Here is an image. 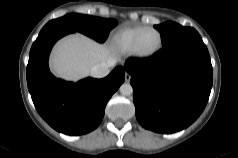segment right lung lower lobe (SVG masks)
<instances>
[{
  "instance_id": "right-lung-lower-lobe-1",
  "label": "right lung lower lobe",
  "mask_w": 238,
  "mask_h": 158,
  "mask_svg": "<svg viewBox=\"0 0 238 158\" xmlns=\"http://www.w3.org/2000/svg\"><path fill=\"white\" fill-rule=\"evenodd\" d=\"M72 32L56 28L40 32L29 54L27 85L38 113L51 127L64 134L81 135L100 124L106 104L123 83L125 72L119 66L103 79L87 78L78 83L56 79L48 68L51 48Z\"/></svg>"
}]
</instances>
